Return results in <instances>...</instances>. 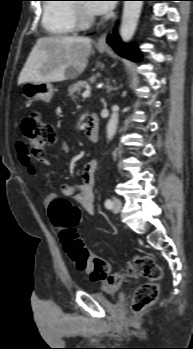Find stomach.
Segmentation results:
<instances>
[{"label":"stomach","mask_w":193,"mask_h":349,"mask_svg":"<svg viewBox=\"0 0 193 349\" xmlns=\"http://www.w3.org/2000/svg\"><path fill=\"white\" fill-rule=\"evenodd\" d=\"M103 53L105 49L99 48ZM22 94L28 101L42 100L49 102L53 95V86L45 82H25L21 86Z\"/></svg>","instance_id":"0dacf381"}]
</instances>
